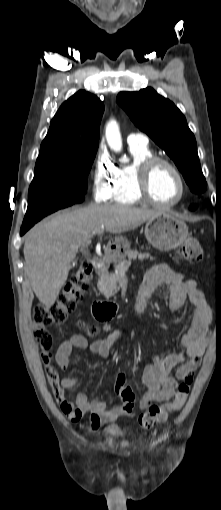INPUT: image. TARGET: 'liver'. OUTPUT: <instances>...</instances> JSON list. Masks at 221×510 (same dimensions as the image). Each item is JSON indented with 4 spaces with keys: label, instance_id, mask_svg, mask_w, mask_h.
Here are the masks:
<instances>
[{
    "label": "liver",
    "instance_id": "liver-1",
    "mask_svg": "<svg viewBox=\"0 0 221 510\" xmlns=\"http://www.w3.org/2000/svg\"><path fill=\"white\" fill-rule=\"evenodd\" d=\"M161 213L129 205L91 204L35 225L26 234L23 252L25 270L36 297L46 307L55 303L71 262L91 244L95 233H102L103 229L115 234L132 230Z\"/></svg>",
    "mask_w": 221,
    "mask_h": 510
}]
</instances>
